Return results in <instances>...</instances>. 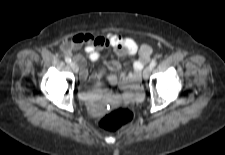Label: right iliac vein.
<instances>
[{"instance_id": "1", "label": "right iliac vein", "mask_w": 225, "mask_h": 155, "mask_svg": "<svg viewBox=\"0 0 225 155\" xmlns=\"http://www.w3.org/2000/svg\"><path fill=\"white\" fill-rule=\"evenodd\" d=\"M70 66H71V68H72V70L74 71V72H78V65L75 63V62H72L71 64H70Z\"/></svg>"}]
</instances>
